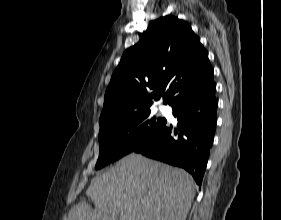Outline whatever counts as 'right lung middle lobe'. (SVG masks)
<instances>
[{"label":"right lung middle lobe","instance_id":"1","mask_svg":"<svg viewBox=\"0 0 281 220\" xmlns=\"http://www.w3.org/2000/svg\"><path fill=\"white\" fill-rule=\"evenodd\" d=\"M165 119L154 115L150 108L117 118L100 128V154L95 166L100 169L140 146L155 135Z\"/></svg>","mask_w":281,"mask_h":220}]
</instances>
